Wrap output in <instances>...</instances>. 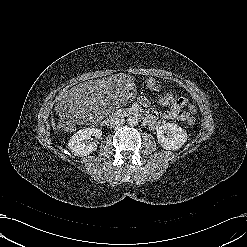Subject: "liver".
Segmentation results:
<instances>
[{"instance_id": "obj_1", "label": "liver", "mask_w": 247, "mask_h": 247, "mask_svg": "<svg viewBox=\"0 0 247 247\" xmlns=\"http://www.w3.org/2000/svg\"><path fill=\"white\" fill-rule=\"evenodd\" d=\"M52 127H53L54 129H56V128H55V121H54V119H52Z\"/></svg>"}]
</instances>
